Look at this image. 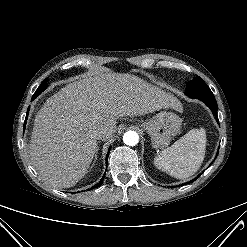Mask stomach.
<instances>
[{
    "label": "stomach",
    "mask_w": 247,
    "mask_h": 247,
    "mask_svg": "<svg viewBox=\"0 0 247 247\" xmlns=\"http://www.w3.org/2000/svg\"><path fill=\"white\" fill-rule=\"evenodd\" d=\"M182 125L178 115L161 111L153 119L141 124V127L150 135L154 149H164L170 144L172 136L176 135Z\"/></svg>",
    "instance_id": "1"
}]
</instances>
